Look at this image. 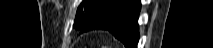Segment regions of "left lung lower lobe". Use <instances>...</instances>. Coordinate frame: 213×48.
<instances>
[{"mask_svg": "<svg viewBox=\"0 0 213 48\" xmlns=\"http://www.w3.org/2000/svg\"><path fill=\"white\" fill-rule=\"evenodd\" d=\"M140 0H114L99 10L83 28V32L103 29L111 32L126 48H136Z\"/></svg>", "mask_w": 213, "mask_h": 48, "instance_id": "obj_1", "label": "left lung lower lobe"}]
</instances>
